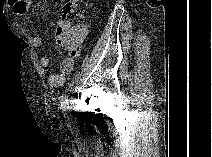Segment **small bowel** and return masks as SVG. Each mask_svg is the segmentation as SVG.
<instances>
[{"instance_id": "c3829d8e", "label": "small bowel", "mask_w": 212, "mask_h": 157, "mask_svg": "<svg viewBox=\"0 0 212 157\" xmlns=\"http://www.w3.org/2000/svg\"><path fill=\"white\" fill-rule=\"evenodd\" d=\"M9 4L12 7L14 13L18 16H23L27 13L30 3L27 0H9ZM67 30V25L65 21L62 19L57 23L55 36L56 40L58 36ZM85 35V28L81 29V38L79 43L82 41ZM43 40L40 37H35L32 40V45L35 48H38L42 45ZM78 56V55H77ZM77 56L65 57L62 59L60 63V73L59 74H51L48 77V82L52 87H60L63 85L66 75L69 74L74 67V61ZM50 64V58L46 55H43L39 58V66L42 69H46Z\"/></svg>"}]
</instances>
